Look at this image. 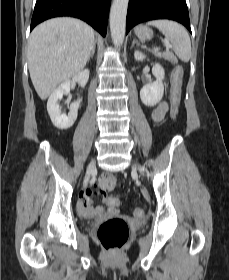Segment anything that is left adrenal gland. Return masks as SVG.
I'll return each mask as SVG.
<instances>
[{
    "label": "left adrenal gland",
    "instance_id": "1",
    "mask_svg": "<svg viewBox=\"0 0 229 280\" xmlns=\"http://www.w3.org/2000/svg\"><path fill=\"white\" fill-rule=\"evenodd\" d=\"M136 42H137V41L134 39V40H133V43H132V46L135 45Z\"/></svg>",
    "mask_w": 229,
    "mask_h": 280
}]
</instances>
